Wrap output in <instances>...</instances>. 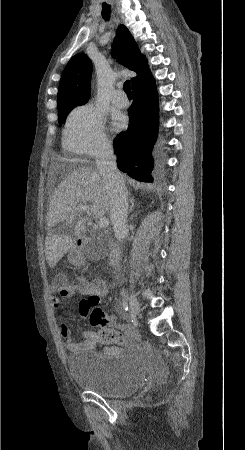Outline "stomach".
Returning a JSON list of instances; mask_svg holds the SVG:
<instances>
[{"label":"stomach","instance_id":"obj_1","mask_svg":"<svg viewBox=\"0 0 245 450\" xmlns=\"http://www.w3.org/2000/svg\"><path fill=\"white\" fill-rule=\"evenodd\" d=\"M68 260L73 263V264H81L84 261V256L82 254V252L80 251V249L78 248H73L70 250L69 254H68Z\"/></svg>","mask_w":245,"mask_h":450}]
</instances>
